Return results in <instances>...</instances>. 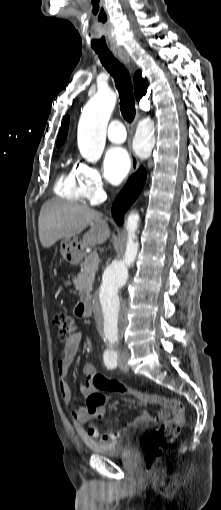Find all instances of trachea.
Wrapping results in <instances>:
<instances>
[{
  "mask_svg": "<svg viewBox=\"0 0 221 510\" xmlns=\"http://www.w3.org/2000/svg\"><path fill=\"white\" fill-rule=\"evenodd\" d=\"M105 69L114 78L120 97V110L124 119L131 123L135 117V100L128 70L110 52L96 51Z\"/></svg>",
  "mask_w": 221,
  "mask_h": 510,
  "instance_id": "3493384b",
  "label": "trachea"
}]
</instances>
